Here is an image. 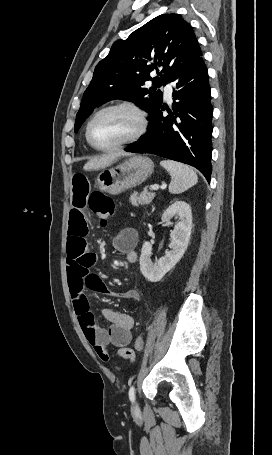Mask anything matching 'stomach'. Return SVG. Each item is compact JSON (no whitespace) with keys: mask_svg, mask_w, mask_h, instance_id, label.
Returning a JSON list of instances; mask_svg holds the SVG:
<instances>
[{"mask_svg":"<svg viewBox=\"0 0 272 455\" xmlns=\"http://www.w3.org/2000/svg\"><path fill=\"white\" fill-rule=\"evenodd\" d=\"M153 171L154 163L150 158L136 155L116 167L101 171L96 185L106 193L117 195L143 183Z\"/></svg>","mask_w":272,"mask_h":455,"instance_id":"obj_1","label":"stomach"}]
</instances>
